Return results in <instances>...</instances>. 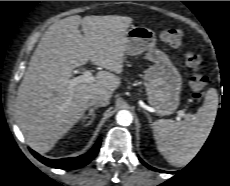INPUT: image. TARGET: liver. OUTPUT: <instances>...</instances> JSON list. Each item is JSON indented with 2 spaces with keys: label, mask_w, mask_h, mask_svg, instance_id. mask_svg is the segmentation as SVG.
<instances>
[{
  "label": "liver",
  "mask_w": 230,
  "mask_h": 186,
  "mask_svg": "<svg viewBox=\"0 0 230 186\" xmlns=\"http://www.w3.org/2000/svg\"><path fill=\"white\" fill-rule=\"evenodd\" d=\"M132 21L117 15H74L46 30L15 102L19 127L32 149L51 150L84 115L92 95L112 97L121 84L117 74L123 72L126 34ZM88 61L109 71H99L93 83H80L71 90L68 81L73 70Z\"/></svg>",
  "instance_id": "6515ba94"
}]
</instances>
